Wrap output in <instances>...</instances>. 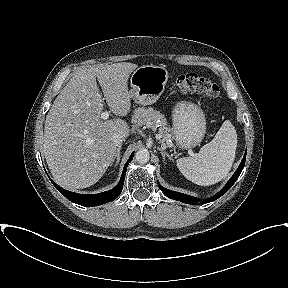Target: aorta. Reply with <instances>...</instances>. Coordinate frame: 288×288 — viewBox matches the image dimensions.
Returning a JSON list of instances; mask_svg holds the SVG:
<instances>
[{"instance_id": "obj_1", "label": "aorta", "mask_w": 288, "mask_h": 288, "mask_svg": "<svg viewBox=\"0 0 288 288\" xmlns=\"http://www.w3.org/2000/svg\"><path fill=\"white\" fill-rule=\"evenodd\" d=\"M135 159L138 163L140 164H145L149 161L150 159V154L148 152V150L146 149H141L139 151L136 152L135 154Z\"/></svg>"}]
</instances>
